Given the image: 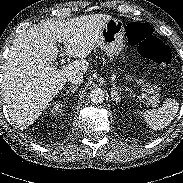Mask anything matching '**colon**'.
<instances>
[{"label": "colon", "instance_id": "5ec220e1", "mask_svg": "<svg viewBox=\"0 0 183 183\" xmlns=\"http://www.w3.org/2000/svg\"><path fill=\"white\" fill-rule=\"evenodd\" d=\"M126 36L130 45L136 46L140 55L158 64L162 69L171 65L169 47L153 35L150 25L141 22H132L126 27Z\"/></svg>", "mask_w": 183, "mask_h": 183}]
</instances>
